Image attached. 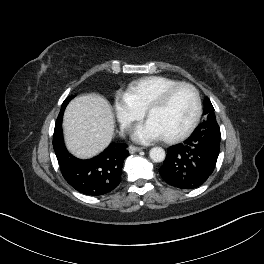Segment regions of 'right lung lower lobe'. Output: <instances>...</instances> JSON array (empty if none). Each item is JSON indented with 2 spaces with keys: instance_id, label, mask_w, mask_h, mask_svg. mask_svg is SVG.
<instances>
[{
  "instance_id": "1",
  "label": "right lung lower lobe",
  "mask_w": 264,
  "mask_h": 264,
  "mask_svg": "<svg viewBox=\"0 0 264 264\" xmlns=\"http://www.w3.org/2000/svg\"><path fill=\"white\" fill-rule=\"evenodd\" d=\"M60 113L54 130L53 147L65 180L77 191L91 196L106 194L121 181L123 162L129 155L126 144L111 143L100 155L81 160L71 155L63 141Z\"/></svg>"
}]
</instances>
